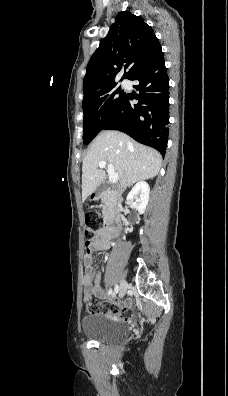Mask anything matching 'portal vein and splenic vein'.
<instances>
[{
  "label": "portal vein and splenic vein",
  "mask_w": 228,
  "mask_h": 396,
  "mask_svg": "<svg viewBox=\"0 0 228 396\" xmlns=\"http://www.w3.org/2000/svg\"><path fill=\"white\" fill-rule=\"evenodd\" d=\"M106 165H107V163H106L105 161H100V162L98 163V166H99L100 168H105ZM107 172H108V175H109V181H110L111 183H116V182L118 181L119 177H118V174L115 173L114 167H113L112 164H108V166H107Z\"/></svg>",
  "instance_id": "obj_1"
}]
</instances>
